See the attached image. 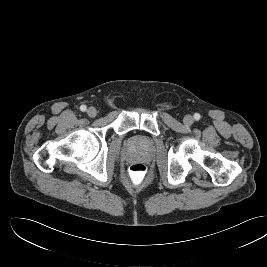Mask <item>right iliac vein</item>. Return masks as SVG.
Listing matches in <instances>:
<instances>
[{
	"label": "right iliac vein",
	"instance_id": "obj_1",
	"mask_svg": "<svg viewBox=\"0 0 267 267\" xmlns=\"http://www.w3.org/2000/svg\"><path fill=\"white\" fill-rule=\"evenodd\" d=\"M87 115H88L89 117H95V116L97 115V110H96V108H94V107H89V108L87 109Z\"/></svg>",
	"mask_w": 267,
	"mask_h": 267
}]
</instances>
